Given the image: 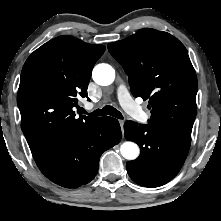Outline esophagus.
Wrapping results in <instances>:
<instances>
[{
    "instance_id": "obj_1",
    "label": "esophagus",
    "mask_w": 221,
    "mask_h": 221,
    "mask_svg": "<svg viewBox=\"0 0 221 221\" xmlns=\"http://www.w3.org/2000/svg\"><path fill=\"white\" fill-rule=\"evenodd\" d=\"M120 126L123 129V125H124V120H119Z\"/></svg>"
}]
</instances>
